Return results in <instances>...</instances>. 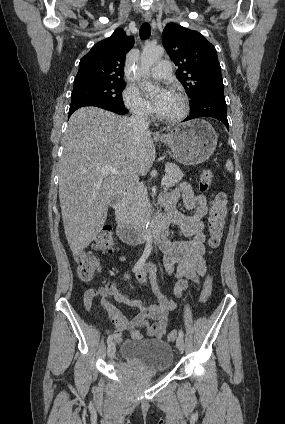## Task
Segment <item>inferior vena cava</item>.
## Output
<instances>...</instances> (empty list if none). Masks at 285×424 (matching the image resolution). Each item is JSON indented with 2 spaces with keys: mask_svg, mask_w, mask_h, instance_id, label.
Returning <instances> with one entry per match:
<instances>
[{
  "mask_svg": "<svg viewBox=\"0 0 285 424\" xmlns=\"http://www.w3.org/2000/svg\"><path fill=\"white\" fill-rule=\"evenodd\" d=\"M130 123L136 133L147 131L149 128L147 115L141 109H135L133 111V115L130 117Z\"/></svg>",
  "mask_w": 285,
  "mask_h": 424,
  "instance_id": "1",
  "label": "inferior vena cava"
}]
</instances>
